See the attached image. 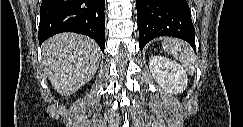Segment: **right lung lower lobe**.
<instances>
[{
    "label": "right lung lower lobe",
    "instance_id": "98d812e1",
    "mask_svg": "<svg viewBox=\"0 0 243 127\" xmlns=\"http://www.w3.org/2000/svg\"><path fill=\"white\" fill-rule=\"evenodd\" d=\"M105 0H43L38 39L42 44L61 32H75L93 38L105 48Z\"/></svg>",
    "mask_w": 243,
    "mask_h": 127
}]
</instances>
